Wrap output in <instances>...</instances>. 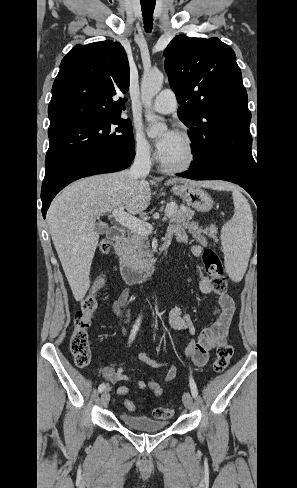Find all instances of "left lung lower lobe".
I'll return each mask as SVG.
<instances>
[{
  "label": "left lung lower lobe",
  "instance_id": "left-lung-lower-lobe-1",
  "mask_svg": "<svg viewBox=\"0 0 297 488\" xmlns=\"http://www.w3.org/2000/svg\"><path fill=\"white\" fill-rule=\"evenodd\" d=\"M177 176L193 180L233 182L244 188L255 202L258 200V180L255 168L235 160L216 159L198 166H190L188 171L177 174Z\"/></svg>",
  "mask_w": 297,
  "mask_h": 488
}]
</instances>
